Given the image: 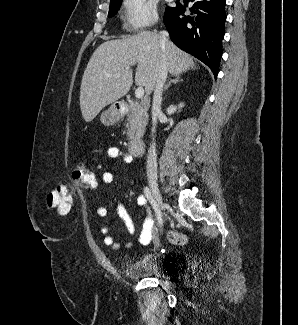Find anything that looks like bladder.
I'll return each mask as SVG.
<instances>
[{"mask_svg":"<svg viewBox=\"0 0 298 325\" xmlns=\"http://www.w3.org/2000/svg\"><path fill=\"white\" fill-rule=\"evenodd\" d=\"M122 273L129 279L163 278L159 257L154 254L145 255L122 267Z\"/></svg>","mask_w":298,"mask_h":325,"instance_id":"bladder-1","label":"bladder"}]
</instances>
